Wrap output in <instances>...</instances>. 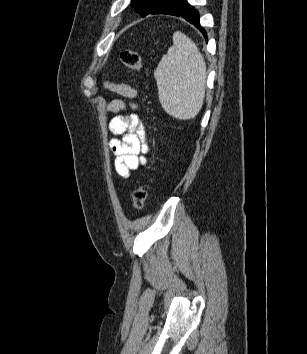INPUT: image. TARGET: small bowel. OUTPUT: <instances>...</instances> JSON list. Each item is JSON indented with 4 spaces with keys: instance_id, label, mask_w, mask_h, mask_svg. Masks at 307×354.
I'll return each mask as SVG.
<instances>
[{
    "instance_id": "small-bowel-1",
    "label": "small bowel",
    "mask_w": 307,
    "mask_h": 354,
    "mask_svg": "<svg viewBox=\"0 0 307 354\" xmlns=\"http://www.w3.org/2000/svg\"><path fill=\"white\" fill-rule=\"evenodd\" d=\"M112 89L123 98L133 99L137 91L128 84H116ZM135 109L136 105L131 104ZM125 110L122 100L112 101L107 111L118 113ZM114 135L109 141V148L115 156L114 167L118 175L128 177L131 171L146 164L144 154L149 151L147 134L144 125L136 114L118 115L109 124Z\"/></svg>"
}]
</instances>
